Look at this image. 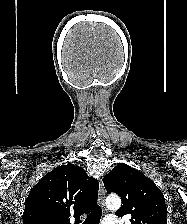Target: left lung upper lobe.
<instances>
[{"label": "left lung upper lobe", "instance_id": "left-lung-upper-lobe-1", "mask_svg": "<svg viewBox=\"0 0 187 224\" xmlns=\"http://www.w3.org/2000/svg\"><path fill=\"white\" fill-rule=\"evenodd\" d=\"M107 193H117L122 204L118 217L131 215V224H167V207L162 192L142 172L122 164L104 176Z\"/></svg>", "mask_w": 187, "mask_h": 224}]
</instances>
